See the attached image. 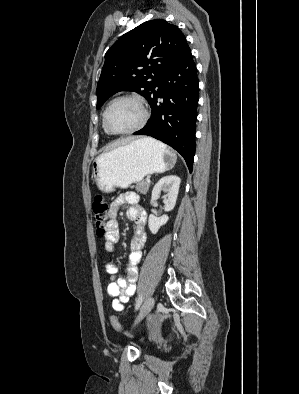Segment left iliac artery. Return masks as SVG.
Wrapping results in <instances>:
<instances>
[{
    "mask_svg": "<svg viewBox=\"0 0 299 394\" xmlns=\"http://www.w3.org/2000/svg\"><path fill=\"white\" fill-rule=\"evenodd\" d=\"M142 300H143L142 296H139V298H138V300L136 302V306H135L136 310L140 307V305L142 303Z\"/></svg>",
    "mask_w": 299,
    "mask_h": 394,
    "instance_id": "obj_1",
    "label": "left iliac artery"
}]
</instances>
